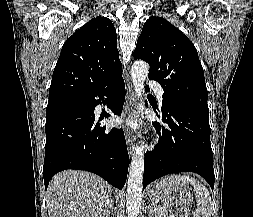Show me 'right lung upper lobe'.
Wrapping results in <instances>:
<instances>
[{
	"instance_id": "obj_1",
	"label": "right lung upper lobe",
	"mask_w": 253,
	"mask_h": 217,
	"mask_svg": "<svg viewBox=\"0 0 253 217\" xmlns=\"http://www.w3.org/2000/svg\"><path fill=\"white\" fill-rule=\"evenodd\" d=\"M114 25L96 17L64 43L49 88L48 103L86 95L118 73L122 64Z\"/></svg>"
}]
</instances>
